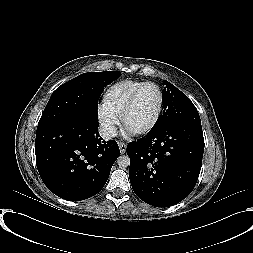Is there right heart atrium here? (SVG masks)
<instances>
[{
  "instance_id": "d8ad5b80",
  "label": "right heart atrium",
  "mask_w": 253,
  "mask_h": 253,
  "mask_svg": "<svg viewBox=\"0 0 253 253\" xmlns=\"http://www.w3.org/2000/svg\"><path fill=\"white\" fill-rule=\"evenodd\" d=\"M96 118L101 134L106 138L113 137L119 125L118 116L106 109L103 105H99L96 109Z\"/></svg>"
}]
</instances>
